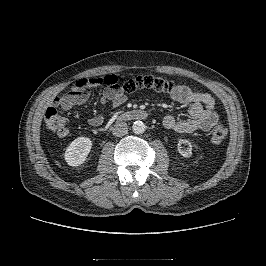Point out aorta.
Returning a JSON list of instances; mask_svg holds the SVG:
<instances>
[{"label": "aorta", "instance_id": "aorta-1", "mask_svg": "<svg viewBox=\"0 0 266 266\" xmlns=\"http://www.w3.org/2000/svg\"><path fill=\"white\" fill-rule=\"evenodd\" d=\"M132 130L135 134H142L146 130V125L142 121H135L132 125Z\"/></svg>", "mask_w": 266, "mask_h": 266}]
</instances>
